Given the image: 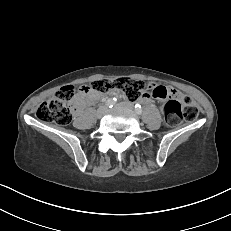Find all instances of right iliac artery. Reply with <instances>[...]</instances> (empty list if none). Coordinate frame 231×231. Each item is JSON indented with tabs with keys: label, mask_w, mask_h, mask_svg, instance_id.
I'll use <instances>...</instances> for the list:
<instances>
[{
	"label": "right iliac artery",
	"mask_w": 231,
	"mask_h": 231,
	"mask_svg": "<svg viewBox=\"0 0 231 231\" xmlns=\"http://www.w3.org/2000/svg\"><path fill=\"white\" fill-rule=\"evenodd\" d=\"M116 101H117L116 98H110V99L107 100L106 105L108 107L112 108L115 105Z\"/></svg>",
	"instance_id": "82829eb1"
}]
</instances>
